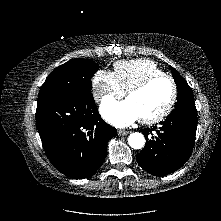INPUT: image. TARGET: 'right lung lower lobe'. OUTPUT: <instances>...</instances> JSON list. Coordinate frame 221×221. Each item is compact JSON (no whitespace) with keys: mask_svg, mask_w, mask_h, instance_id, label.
<instances>
[{"mask_svg":"<svg viewBox=\"0 0 221 221\" xmlns=\"http://www.w3.org/2000/svg\"><path fill=\"white\" fill-rule=\"evenodd\" d=\"M36 124L51 163L74 179L97 171L117 133L102 120L90 91L38 101Z\"/></svg>","mask_w":221,"mask_h":221,"instance_id":"obj_1","label":"right lung lower lobe"}]
</instances>
